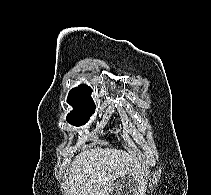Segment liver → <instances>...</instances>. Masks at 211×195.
Segmentation results:
<instances>
[{
	"mask_svg": "<svg viewBox=\"0 0 211 195\" xmlns=\"http://www.w3.org/2000/svg\"><path fill=\"white\" fill-rule=\"evenodd\" d=\"M147 168L134 155L116 148H89L74 159L67 181L68 195H112L114 182L130 177L138 191L128 195H145ZM136 188V187H135Z\"/></svg>",
	"mask_w": 211,
	"mask_h": 195,
	"instance_id": "1",
	"label": "liver"
}]
</instances>
